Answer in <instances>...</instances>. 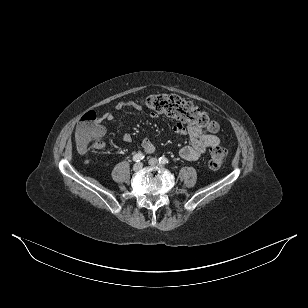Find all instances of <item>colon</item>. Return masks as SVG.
<instances>
[{"label": "colon", "instance_id": "obj_1", "mask_svg": "<svg viewBox=\"0 0 308 308\" xmlns=\"http://www.w3.org/2000/svg\"><path fill=\"white\" fill-rule=\"evenodd\" d=\"M147 108L156 114H165L183 123L198 127L206 132L218 131V124L209 115L194 106L190 102L169 94L150 95L144 100ZM104 127L101 119L94 111L86 112L80 119L76 131L75 140L81 151L99 149L102 146ZM227 151L222 146H214L210 150L209 167L219 169L225 161Z\"/></svg>", "mask_w": 308, "mask_h": 308}]
</instances>
